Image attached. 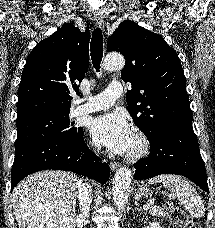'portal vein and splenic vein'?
Returning a JSON list of instances; mask_svg holds the SVG:
<instances>
[{
  "label": "portal vein and splenic vein",
  "instance_id": "portal-vein-and-splenic-vein-1",
  "mask_svg": "<svg viewBox=\"0 0 215 228\" xmlns=\"http://www.w3.org/2000/svg\"><path fill=\"white\" fill-rule=\"evenodd\" d=\"M151 208H154L153 204H147V206H144V210H151Z\"/></svg>",
  "mask_w": 215,
  "mask_h": 228
}]
</instances>
